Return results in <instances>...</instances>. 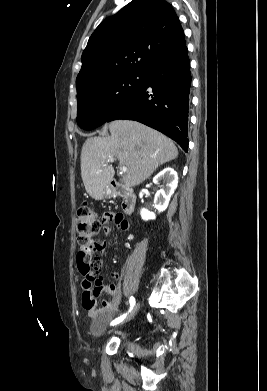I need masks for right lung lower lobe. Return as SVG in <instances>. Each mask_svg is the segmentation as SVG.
Instances as JSON below:
<instances>
[{"instance_id": "right-lung-lower-lobe-1", "label": "right lung lower lobe", "mask_w": 267, "mask_h": 391, "mask_svg": "<svg viewBox=\"0 0 267 391\" xmlns=\"http://www.w3.org/2000/svg\"><path fill=\"white\" fill-rule=\"evenodd\" d=\"M142 87L117 108L107 122L130 119L150 126L188 151V109L191 86L187 47L149 65Z\"/></svg>"}]
</instances>
